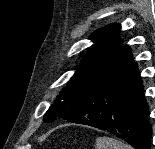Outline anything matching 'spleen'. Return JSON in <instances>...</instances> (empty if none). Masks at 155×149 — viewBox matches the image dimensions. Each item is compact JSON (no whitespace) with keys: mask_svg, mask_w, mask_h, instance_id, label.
I'll return each instance as SVG.
<instances>
[{"mask_svg":"<svg viewBox=\"0 0 155 149\" xmlns=\"http://www.w3.org/2000/svg\"><path fill=\"white\" fill-rule=\"evenodd\" d=\"M95 149H133L130 145L110 137H98Z\"/></svg>","mask_w":155,"mask_h":149,"instance_id":"3e777b00","label":"spleen"}]
</instances>
